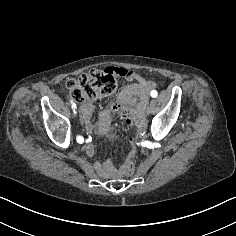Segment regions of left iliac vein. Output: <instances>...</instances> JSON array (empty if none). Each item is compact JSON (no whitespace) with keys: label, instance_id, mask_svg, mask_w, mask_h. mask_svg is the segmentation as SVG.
<instances>
[{"label":"left iliac vein","instance_id":"obj_1","mask_svg":"<svg viewBox=\"0 0 236 236\" xmlns=\"http://www.w3.org/2000/svg\"><path fill=\"white\" fill-rule=\"evenodd\" d=\"M156 105H157V102H156V101H153L151 105H148V106H147V112H148V113H151V112H152V109H154Z\"/></svg>","mask_w":236,"mask_h":236}]
</instances>
